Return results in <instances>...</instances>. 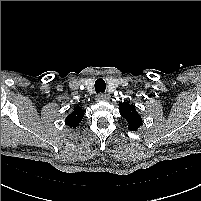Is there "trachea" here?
Returning <instances> with one entry per match:
<instances>
[{
  "instance_id": "1",
  "label": "trachea",
  "mask_w": 201,
  "mask_h": 201,
  "mask_svg": "<svg viewBox=\"0 0 201 201\" xmlns=\"http://www.w3.org/2000/svg\"><path fill=\"white\" fill-rule=\"evenodd\" d=\"M106 89V83L102 78H99L95 82V91L97 94L104 93Z\"/></svg>"
}]
</instances>
